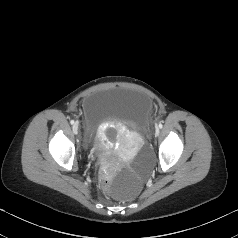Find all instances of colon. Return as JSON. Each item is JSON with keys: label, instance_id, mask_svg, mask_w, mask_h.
Listing matches in <instances>:
<instances>
[{"label": "colon", "instance_id": "colon-1", "mask_svg": "<svg viewBox=\"0 0 238 238\" xmlns=\"http://www.w3.org/2000/svg\"><path fill=\"white\" fill-rule=\"evenodd\" d=\"M100 185L103 189H107L109 186V179L107 177H102L100 179Z\"/></svg>", "mask_w": 238, "mask_h": 238}]
</instances>
